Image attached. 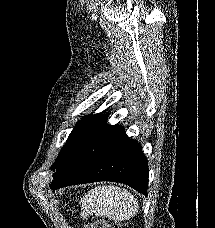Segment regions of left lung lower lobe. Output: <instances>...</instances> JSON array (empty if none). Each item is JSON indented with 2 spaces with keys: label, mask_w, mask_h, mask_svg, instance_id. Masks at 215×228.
Instances as JSON below:
<instances>
[{
  "label": "left lung lower lobe",
  "mask_w": 215,
  "mask_h": 228,
  "mask_svg": "<svg viewBox=\"0 0 215 228\" xmlns=\"http://www.w3.org/2000/svg\"><path fill=\"white\" fill-rule=\"evenodd\" d=\"M149 169L140 144L121 125L102 123L54 176L50 188L115 181L147 195Z\"/></svg>",
  "instance_id": "1"
}]
</instances>
